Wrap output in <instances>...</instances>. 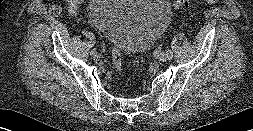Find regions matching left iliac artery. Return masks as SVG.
<instances>
[{"instance_id": "left-iliac-artery-1", "label": "left iliac artery", "mask_w": 253, "mask_h": 131, "mask_svg": "<svg viewBox=\"0 0 253 131\" xmlns=\"http://www.w3.org/2000/svg\"><path fill=\"white\" fill-rule=\"evenodd\" d=\"M156 51L158 52V53H166V54H169L170 52H171V47L170 46H167V47H165V46H158L157 48H156ZM172 56H173V54H172Z\"/></svg>"}]
</instances>
